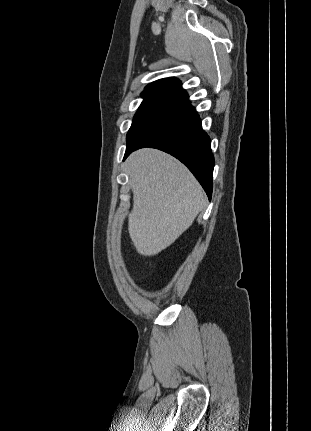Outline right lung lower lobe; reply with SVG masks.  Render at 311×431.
I'll use <instances>...</instances> for the list:
<instances>
[{
    "instance_id": "obj_1",
    "label": "right lung lower lobe",
    "mask_w": 311,
    "mask_h": 431,
    "mask_svg": "<svg viewBox=\"0 0 311 431\" xmlns=\"http://www.w3.org/2000/svg\"><path fill=\"white\" fill-rule=\"evenodd\" d=\"M151 147L171 154L194 174L211 199L214 157L211 140L188 97L162 111L127 144L124 160L133 151Z\"/></svg>"
}]
</instances>
